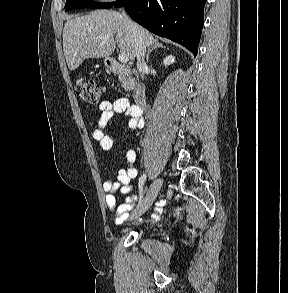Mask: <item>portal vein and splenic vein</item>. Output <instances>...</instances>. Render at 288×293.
<instances>
[{
    "mask_svg": "<svg viewBox=\"0 0 288 293\" xmlns=\"http://www.w3.org/2000/svg\"><path fill=\"white\" fill-rule=\"evenodd\" d=\"M118 60L120 62H128L129 61V55L126 53H120L118 56Z\"/></svg>",
    "mask_w": 288,
    "mask_h": 293,
    "instance_id": "portal-vein-and-splenic-vein-1",
    "label": "portal vein and splenic vein"
}]
</instances>
